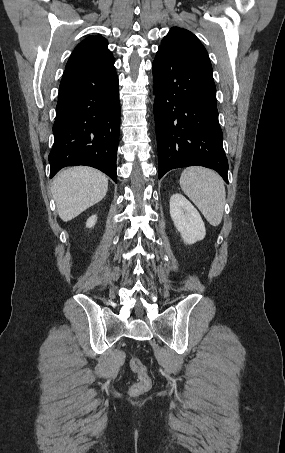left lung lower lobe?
I'll return each mask as SVG.
<instances>
[{
  "mask_svg": "<svg viewBox=\"0 0 285 453\" xmlns=\"http://www.w3.org/2000/svg\"><path fill=\"white\" fill-rule=\"evenodd\" d=\"M152 70L158 178L174 168L199 165L228 183L212 73L159 49Z\"/></svg>",
  "mask_w": 285,
  "mask_h": 453,
  "instance_id": "obj_1",
  "label": "left lung lower lobe"
}]
</instances>
